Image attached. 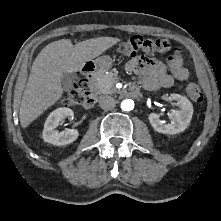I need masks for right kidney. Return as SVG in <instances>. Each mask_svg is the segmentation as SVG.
Instances as JSON below:
<instances>
[{"label": "right kidney", "instance_id": "1", "mask_svg": "<svg viewBox=\"0 0 221 221\" xmlns=\"http://www.w3.org/2000/svg\"><path fill=\"white\" fill-rule=\"evenodd\" d=\"M67 117L72 118L73 111L66 107L58 108L50 113L43 129L42 137L45 142L60 146L70 144L78 138L79 132L76 129H68L62 132L56 130L59 122Z\"/></svg>", "mask_w": 221, "mask_h": 221}]
</instances>
